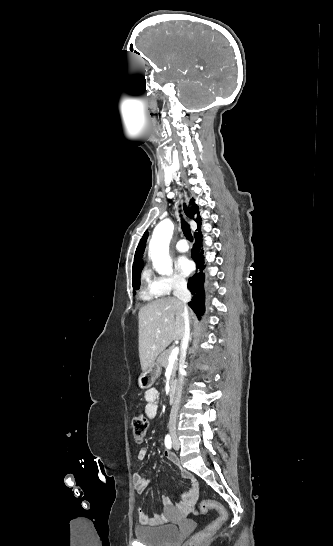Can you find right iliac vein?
<instances>
[{"instance_id": "1", "label": "right iliac vein", "mask_w": 333, "mask_h": 546, "mask_svg": "<svg viewBox=\"0 0 333 546\" xmlns=\"http://www.w3.org/2000/svg\"><path fill=\"white\" fill-rule=\"evenodd\" d=\"M173 441L176 442L177 444H179L176 436H173Z\"/></svg>"}]
</instances>
